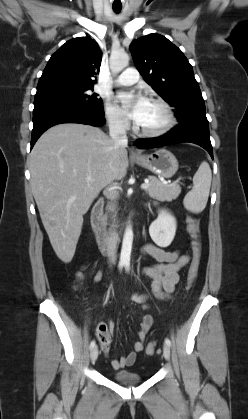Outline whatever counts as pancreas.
Instances as JSON below:
<instances>
[{"label":"pancreas","mask_w":248,"mask_h":419,"mask_svg":"<svg viewBox=\"0 0 248 419\" xmlns=\"http://www.w3.org/2000/svg\"><path fill=\"white\" fill-rule=\"evenodd\" d=\"M148 179L149 187L145 190L151 198L162 202H171L172 200H175L181 193V187L179 184H164L154 176H149Z\"/></svg>","instance_id":"obj_1"}]
</instances>
